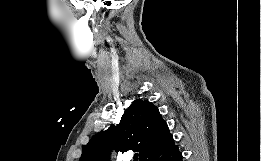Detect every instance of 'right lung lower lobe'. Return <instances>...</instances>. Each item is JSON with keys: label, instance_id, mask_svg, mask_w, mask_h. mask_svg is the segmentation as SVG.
I'll return each instance as SVG.
<instances>
[{"label": "right lung lower lobe", "instance_id": "1", "mask_svg": "<svg viewBox=\"0 0 261 161\" xmlns=\"http://www.w3.org/2000/svg\"><path fill=\"white\" fill-rule=\"evenodd\" d=\"M145 161H182V155L179 152L178 145L172 144L151 154Z\"/></svg>", "mask_w": 261, "mask_h": 161}]
</instances>
